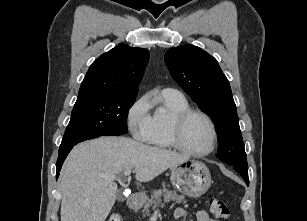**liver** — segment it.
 Returning a JSON list of instances; mask_svg holds the SVG:
<instances>
[{
    "label": "liver",
    "instance_id": "liver-1",
    "mask_svg": "<svg viewBox=\"0 0 307 221\" xmlns=\"http://www.w3.org/2000/svg\"><path fill=\"white\" fill-rule=\"evenodd\" d=\"M188 157L126 137H100L75 146L60 174L61 221H105L117 194L115 179L125 170L148 182Z\"/></svg>",
    "mask_w": 307,
    "mask_h": 221
}]
</instances>
